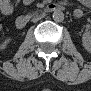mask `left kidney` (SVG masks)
I'll return each mask as SVG.
<instances>
[{
  "label": "left kidney",
  "instance_id": "1",
  "mask_svg": "<svg viewBox=\"0 0 91 91\" xmlns=\"http://www.w3.org/2000/svg\"><path fill=\"white\" fill-rule=\"evenodd\" d=\"M82 45L85 48V50L90 51L91 50V36L89 33H85L82 37Z\"/></svg>",
  "mask_w": 91,
  "mask_h": 91
}]
</instances>
